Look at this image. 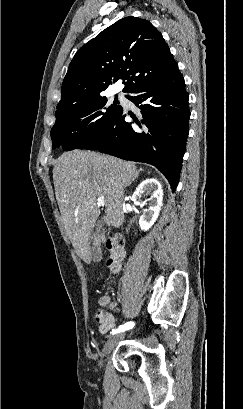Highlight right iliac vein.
Here are the masks:
<instances>
[{
  "label": "right iliac vein",
  "mask_w": 243,
  "mask_h": 409,
  "mask_svg": "<svg viewBox=\"0 0 243 409\" xmlns=\"http://www.w3.org/2000/svg\"><path fill=\"white\" fill-rule=\"evenodd\" d=\"M125 337V334L121 333V334H116L111 336L106 344L104 345L103 351H102V358L104 356H106L108 353H110L113 348L116 346V344ZM100 364L102 365V361L100 362Z\"/></svg>",
  "instance_id": "63e3f726"
}]
</instances>
